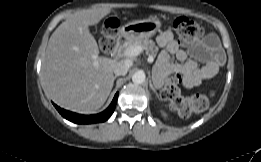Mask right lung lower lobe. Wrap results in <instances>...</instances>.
I'll return each instance as SVG.
<instances>
[{
	"label": "right lung lower lobe",
	"instance_id": "right-lung-lower-lobe-1",
	"mask_svg": "<svg viewBox=\"0 0 261 162\" xmlns=\"http://www.w3.org/2000/svg\"><path fill=\"white\" fill-rule=\"evenodd\" d=\"M117 98H118V93L115 94L113 101L111 102V104L105 111H103L99 114H95V115L76 114L74 112L64 110L55 104H54V106L64 118H66L67 120H69L71 122H74L77 124L99 123V122L106 121L112 115V113L114 112L115 106H116Z\"/></svg>",
	"mask_w": 261,
	"mask_h": 162
}]
</instances>
